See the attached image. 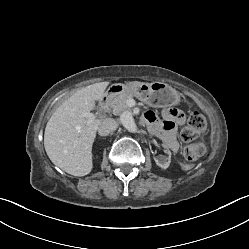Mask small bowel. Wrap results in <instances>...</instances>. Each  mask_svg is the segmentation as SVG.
Here are the masks:
<instances>
[{
  "instance_id": "small-bowel-1",
  "label": "small bowel",
  "mask_w": 249,
  "mask_h": 249,
  "mask_svg": "<svg viewBox=\"0 0 249 249\" xmlns=\"http://www.w3.org/2000/svg\"><path fill=\"white\" fill-rule=\"evenodd\" d=\"M162 116L164 119L162 126L159 125L157 116L153 111L146 112L145 119L154 130L162 134L169 146L176 150L177 144L174 141V130L177 125L184 123L185 116L177 109H166L162 112Z\"/></svg>"
}]
</instances>
